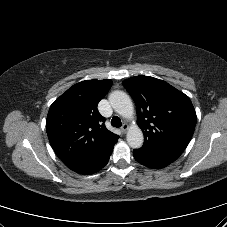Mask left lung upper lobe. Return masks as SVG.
I'll return each mask as SVG.
<instances>
[{
	"instance_id": "5c2ea615",
	"label": "left lung upper lobe",
	"mask_w": 227,
	"mask_h": 227,
	"mask_svg": "<svg viewBox=\"0 0 227 227\" xmlns=\"http://www.w3.org/2000/svg\"><path fill=\"white\" fill-rule=\"evenodd\" d=\"M137 107V124L146 148H161L181 155L196 125V112L187 95L165 81L136 76L123 81Z\"/></svg>"
}]
</instances>
